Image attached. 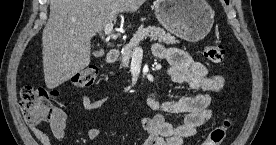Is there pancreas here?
<instances>
[{"instance_id": "cf45deb5", "label": "pancreas", "mask_w": 276, "mask_h": 145, "mask_svg": "<svg viewBox=\"0 0 276 145\" xmlns=\"http://www.w3.org/2000/svg\"><path fill=\"white\" fill-rule=\"evenodd\" d=\"M151 38L152 40H158L160 43L175 44L178 41L174 36L166 33L164 29L156 26L141 27L133 34V37L129 43L123 47L121 56V66L124 68L129 67L130 59L135 49L139 46L144 39Z\"/></svg>"}]
</instances>
